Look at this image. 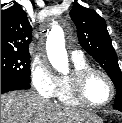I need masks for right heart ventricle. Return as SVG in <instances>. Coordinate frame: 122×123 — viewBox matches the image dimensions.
Listing matches in <instances>:
<instances>
[{"mask_svg": "<svg viewBox=\"0 0 122 123\" xmlns=\"http://www.w3.org/2000/svg\"><path fill=\"white\" fill-rule=\"evenodd\" d=\"M72 62L74 66L73 73L83 68L90 67L89 62L84 57L77 58V59L72 58ZM70 76L71 75L58 77V87L55 96L57 97L59 102H61L64 105L80 106L81 104L75 101L70 94V87H69Z\"/></svg>", "mask_w": 122, "mask_h": 123, "instance_id": "e07e8e85", "label": "right heart ventricle"}]
</instances>
